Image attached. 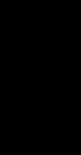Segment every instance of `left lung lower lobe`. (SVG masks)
<instances>
[{
    "mask_svg": "<svg viewBox=\"0 0 81 155\" xmlns=\"http://www.w3.org/2000/svg\"><path fill=\"white\" fill-rule=\"evenodd\" d=\"M56 119L66 131L70 128L78 130L81 122L80 115L68 111L66 108L56 112Z\"/></svg>",
    "mask_w": 81,
    "mask_h": 155,
    "instance_id": "0a47b994",
    "label": "left lung lower lobe"
}]
</instances>
